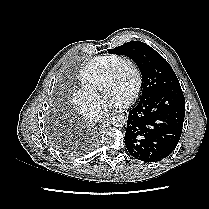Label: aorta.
I'll use <instances>...</instances> for the list:
<instances>
[{"instance_id": "obj_1", "label": "aorta", "mask_w": 209, "mask_h": 209, "mask_svg": "<svg viewBox=\"0 0 209 209\" xmlns=\"http://www.w3.org/2000/svg\"><path fill=\"white\" fill-rule=\"evenodd\" d=\"M111 124L114 126V127H124V125L126 124L127 122V119L124 115H115L111 118Z\"/></svg>"}]
</instances>
